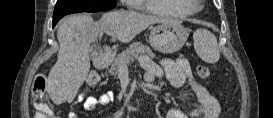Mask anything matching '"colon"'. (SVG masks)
Wrapping results in <instances>:
<instances>
[{"label":"colon","mask_w":273,"mask_h":118,"mask_svg":"<svg viewBox=\"0 0 273 118\" xmlns=\"http://www.w3.org/2000/svg\"><path fill=\"white\" fill-rule=\"evenodd\" d=\"M197 74L202 79H208L211 71L204 65L197 67ZM99 82V75L91 72L85 81L87 89L95 87ZM46 78L44 76H37L32 86V98L37 110V118H55V114L49 104V97L46 91Z\"/></svg>","instance_id":"colon-1"}]
</instances>
